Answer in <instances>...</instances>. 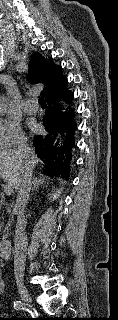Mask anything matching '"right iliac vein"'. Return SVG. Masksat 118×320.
<instances>
[{
    "mask_svg": "<svg viewBox=\"0 0 118 320\" xmlns=\"http://www.w3.org/2000/svg\"><path fill=\"white\" fill-rule=\"evenodd\" d=\"M18 291H19L21 300L26 305H30L32 302V298H31V295H30L29 291L27 290V288L23 284H19Z\"/></svg>",
    "mask_w": 118,
    "mask_h": 320,
    "instance_id": "1",
    "label": "right iliac vein"
}]
</instances>
